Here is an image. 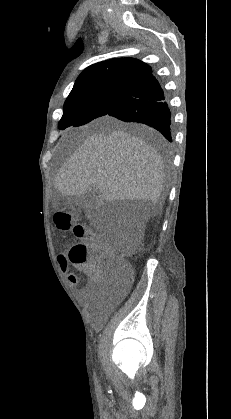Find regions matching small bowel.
Returning <instances> with one entry per match:
<instances>
[{"instance_id":"c3829d8e","label":"small bowel","mask_w":231,"mask_h":419,"mask_svg":"<svg viewBox=\"0 0 231 419\" xmlns=\"http://www.w3.org/2000/svg\"><path fill=\"white\" fill-rule=\"evenodd\" d=\"M59 264H60V267L63 270H65V271L68 270L69 264H68V262L65 258L59 259ZM82 270L88 272V266L83 267ZM79 281H80V279L76 274H74V273H68L67 274V282H68L69 285L76 286V285H78ZM89 291H90V289H83L81 291V294L84 296V301L86 303L89 302Z\"/></svg>"}]
</instances>
